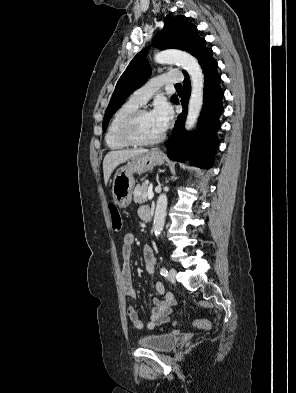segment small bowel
Segmentation results:
<instances>
[{
  "label": "small bowel",
  "instance_id": "small-bowel-1",
  "mask_svg": "<svg viewBox=\"0 0 296 393\" xmlns=\"http://www.w3.org/2000/svg\"><path fill=\"white\" fill-rule=\"evenodd\" d=\"M148 210L149 208L146 206H142L139 208L138 215L142 220L145 219ZM134 242V234L131 232L126 233L122 244V256L124 259V263L121 271V284L124 294L132 298L137 297V292L133 287L131 281V268L129 263ZM143 255L145 260L146 272L153 274L156 269V258L154 256L152 248L150 246H145ZM155 288L160 297L151 298L148 321L145 325L146 328L150 330L154 329L155 327L163 326L168 322L169 314L171 313L172 308L175 304V298L173 294L167 291L161 282H156ZM127 313L135 329L140 330L144 327V323L140 319L138 312L135 308L129 307Z\"/></svg>",
  "mask_w": 296,
  "mask_h": 393
}]
</instances>
